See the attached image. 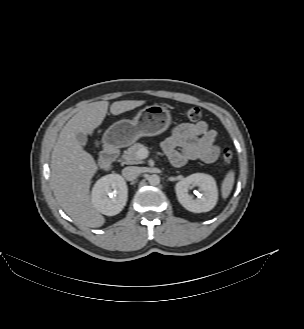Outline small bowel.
I'll list each match as a JSON object with an SVG mask.
<instances>
[{
  "label": "small bowel",
  "mask_w": 304,
  "mask_h": 329,
  "mask_svg": "<svg viewBox=\"0 0 304 329\" xmlns=\"http://www.w3.org/2000/svg\"><path fill=\"white\" fill-rule=\"evenodd\" d=\"M216 138L217 132L210 129L205 121L181 123L164 141L163 150L175 167H182L191 160L213 163L220 155Z\"/></svg>",
  "instance_id": "1"
}]
</instances>
